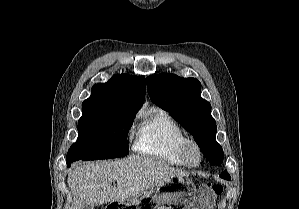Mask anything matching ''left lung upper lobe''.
<instances>
[{
  "mask_svg": "<svg viewBox=\"0 0 299 209\" xmlns=\"http://www.w3.org/2000/svg\"><path fill=\"white\" fill-rule=\"evenodd\" d=\"M150 99L173 115L190 132L211 165L223 162L222 147L216 142L217 126L211 105L201 98V83L195 78H180L161 73L147 77Z\"/></svg>",
  "mask_w": 299,
  "mask_h": 209,
  "instance_id": "left-lung-upper-lobe-1",
  "label": "left lung upper lobe"
}]
</instances>
